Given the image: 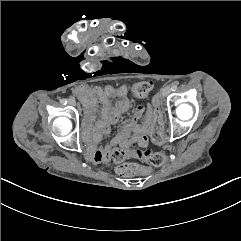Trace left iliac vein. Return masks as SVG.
<instances>
[{
  "instance_id": "4c4485c4",
  "label": "left iliac vein",
  "mask_w": 241,
  "mask_h": 241,
  "mask_svg": "<svg viewBox=\"0 0 241 241\" xmlns=\"http://www.w3.org/2000/svg\"><path fill=\"white\" fill-rule=\"evenodd\" d=\"M170 87L169 86H165L162 90V97L165 98L170 94Z\"/></svg>"
}]
</instances>
